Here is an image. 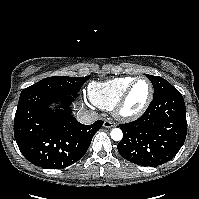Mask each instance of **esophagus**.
I'll return each mask as SVG.
<instances>
[{
  "mask_svg": "<svg viewBox=\"0 0 199 199\" xmlns=\"http://www.w3.org/2000/svg\"><path fill=\"white\" fill-rule=\"evenodd\" d=\"M103 126L105 128H112L116 126V123L114 121L111 120H105Z\"/></svg>",
  "mask_w": 199,
  "mask_h": 199,
  "instance_id": "obj_1",
  "label": "esophagus"
}]
</instances>
